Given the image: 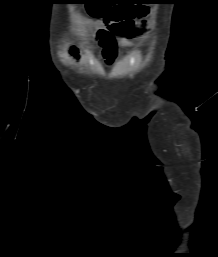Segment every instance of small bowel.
Instances as JSON below:
<instances>
[{
    "mask_svg": "<svg viewBox=\"0 0 218 257\" xmlns=\"http://www.w3.org/2000/svg\"><path fill=\"white\" fill-rule=\"evenodd\" d=\"M91 27L94 37L99 42L98 49L101 51L102 60H107V64H116L118 45L129 46L132 42L128 38L112 32L107 24L101 21L92 22Z\"/></svg>",
    "mask_w": 218,
    "mask_h": 257,
    "instance_id": "obj_1",
    "label": "small bowel"
}]
</instances>
